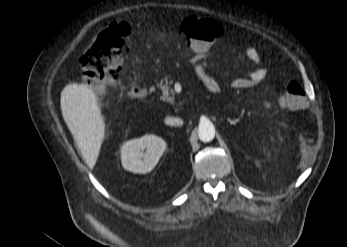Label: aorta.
Here are the masks:
<instances>
[{
	"label": "aorta",
	"instance_id": "1",
	"mask_svg": "<svg viewBox=\"0 0 347 247\" xmlns=\"http://www.w3.org/2000/svg\"><path fill=\"white\" fill-rule=\"evenodd\" d=\"M215 137V128L212 123H201L199 126V138L204 142H210Z\"/></svg>",
	"mask_w": 347,
	"mask_h": 247
}]
</instances>
